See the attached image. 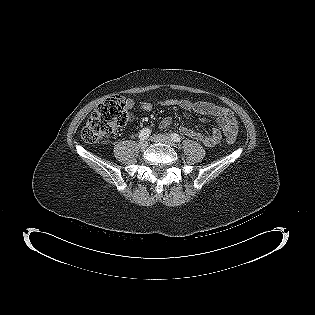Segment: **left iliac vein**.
Returning a JSON list of instances; mask_svg holds the SVG:
<instances>
[{"label": "left iliac vein", "mask_w": 315, "mask_h": 315, "mask_svg": "<svg viewBox=\"0 0 315 315\" xmlns=\"http://www.w3.org/2000/svg\"><path fill=\"white\" fill-rule=\"evenodd\" d=\"M151 140L153 142H161V143L168 144L170 146H174L173 140L169 136H167L165 134L154 135V136L151 137Z\"/></svg>", "instance_id": "left-iliac-vein-1"}]
</instances>
